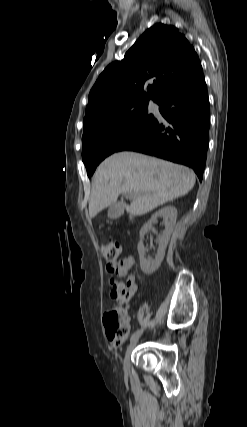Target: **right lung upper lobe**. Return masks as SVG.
<instances>
[{
  "label": "right lung upper lobe",
  "instance_id": "obj_1",
  "mask_svg": "<svg viewBox=\"0 0 247 427\" xmlns=\"http://www.w3.org/2000/svg\"><path fill=\"white\" fill-rule=\"evenodd\" d=\"M202 73L193 46L174 26L156 24L100 74L89 94L84 129L128 107L159 103Z\"/></svg>",
  "mask_w": 247,
  "mask_h": 427
}]
</instances>
